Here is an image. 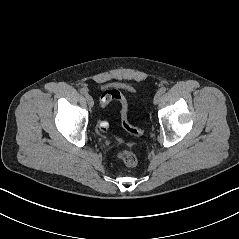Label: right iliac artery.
Wrapping results in <instances>:
<instances>
[{
  "mask_svg": "<svg viewBox=\"0 0 239 239\" xmlns=\"http://www.w3.org/2000/svg\"><path fill=\"white\" fill-rule=\"evenodd\" d=\"M80 92H81V94H83V95H87V94H88V91H87V89H85V88H81V89H80Z\"/></svg>",
  "mask_w": 239,
  "mask_h": 239,
  "instance_id": "right-iliac-artery-1",
  "label": "right iliac artery"
}]
</instances>
